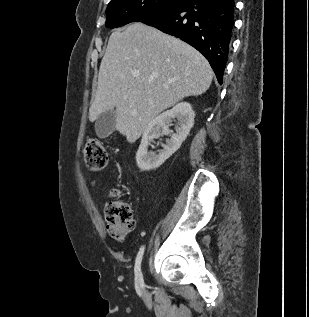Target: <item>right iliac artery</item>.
<instances>
[{"label": "right iliac artery", "instance_id": "82829eb1", "mask_svg": "<svg viewBox=\"0 0 309 317\" xmlns=\"http://www.w3.org/2000/svg\"><path fill=\"white\" fill-rule=\"evenodd\" d=\"M144 254V246H142L137 254L136 261H135V274H136V280L140 287H143L144 281L143 276L141 272V262Z\"/></svg>", "mask_w": 309, "mask_h": 317}]
</instances>
